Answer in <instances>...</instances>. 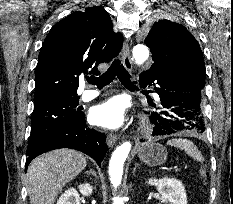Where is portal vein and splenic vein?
Masks as SVG:
<instances>
[{
	"mask_svg": "<svg viewBox=\"0 0 233 204\" xmlns=\"http://www.w3.org/2000/svg\"><path fill=\"white\" fill-rule=\"evenodd\" d=\"M174 169H175L176 171H178V170H179V168H178L177 166H175V167H174Z\"/></svg>",
	"mask_w": 233,
	"mask_h": 204,
	"instance_id": "18ae733b",
	"label": "portal vein and splenic vein"
}]
</instances>
